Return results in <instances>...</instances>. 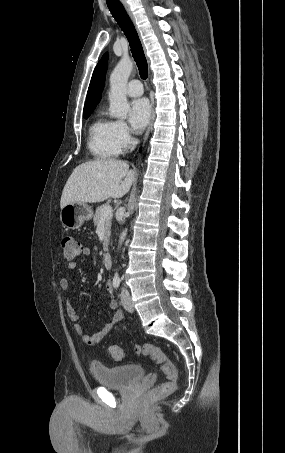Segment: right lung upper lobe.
I'll use <instances>...</instances> for the list:
<instances>
[{"instance_id": "1", "label": "right lung upper lobe", "mask_w": 285, "mask_h": 453, "mask_svg": "<svg viewBox=\"0 0 285 453\" xmlns=\"http://www.w3.org/2000/svg\"><path fill=\"white\" fill-rule=\"evenodd\" d=\"M108 64V53L104 54L93 72L87 92L84 112L94 110L101 99Z\"/></svg>"}]
</instances>
